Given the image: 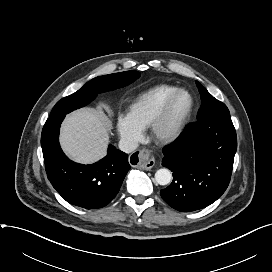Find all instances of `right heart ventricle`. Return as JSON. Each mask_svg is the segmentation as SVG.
Here are the masks:
<instances>
[{"label":"right heart ventricle","mask_w":272,"mask_h":272,"mask_svg":"<svg viewBox=\"0 0 272 272\" xmlns=\"http://www.w3.org/2000/svg\"><path fill=\"white\" fill-rule=\"evenodd\" d=\"M177 89L175 85L161 84L142 92L129 105L127 116L139 129H147L165 101Z\"/></svg>","instance_id":"e07e8e85"}]
</instances>
